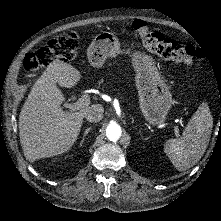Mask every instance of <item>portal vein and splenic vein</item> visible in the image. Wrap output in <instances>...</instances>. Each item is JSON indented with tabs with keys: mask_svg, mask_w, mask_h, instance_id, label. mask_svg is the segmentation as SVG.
<instances>
[{
	"mask_svg": "<svg viewBox=\"0 0 221 221\" xmlns=\"http://www.w3.org/2000/svg\"><path fill=\"white\" fill-rule=\"evenodd\" d=\"M90 105V99L88 96L80 97L76 102L72 104H65V107L70 111L74 112L79 109H84ZM174 130L176 133H179V129L177 125H174Z\"/></svg>",
	"mask_w": 221,
	"mask_h": 221,
	"instance_id": "18ae733b",
	"label": "portal vein and splenic vein"
}]
</instances>
